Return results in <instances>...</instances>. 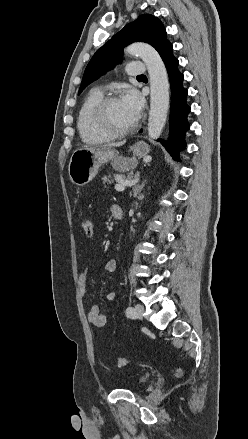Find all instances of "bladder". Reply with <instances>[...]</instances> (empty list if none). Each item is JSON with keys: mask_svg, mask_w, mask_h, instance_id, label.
Listing matches in <instances>:
<instances>
[{"mask_svg": "<svg viewBox=\"0 0 248 439\" xmlns=\"http://www.w3.org/2000/svg\"><path fill=\"white\" fill-rule=\"evenodd\" d=\"M148 378H149V376L146 374L139 376L134 383V387H138V386L143 385L144 383H146L148 381Z\"/></svg>", "mask_w": 248, "mask_h": 439, "instance_id": "1", "label": "bladder"}]
</instances>
